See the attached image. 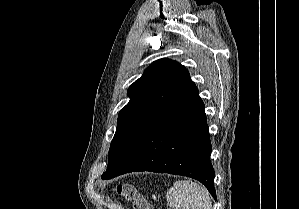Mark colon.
<instances>
[{
	"instance_id": "obj_1",
	"label": "colon",
	"mask_w": 299,
	"mask_h": 209,
	"mask_svg": "<svg viewBox=\"0 0 299 209\" xmlns=\"http://www.w3.org/2000/svg\"><path fill=\"white\" fill-rule=\"evenodd\" d=\"M117 193L133 202V209H152L148 201L143 198L132 184H120L116 187Z\"/></svg>"
}]
</instances>
